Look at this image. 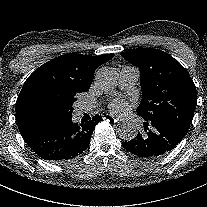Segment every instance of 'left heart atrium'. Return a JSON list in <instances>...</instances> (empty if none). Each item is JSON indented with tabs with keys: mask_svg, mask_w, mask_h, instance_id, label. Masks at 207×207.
Masks as SVG:
<instances>
[{
	"mask_svg": "<svg viewBox=\"0 0 207 207\" xmlns=\"http://www.w3.org/2000/svg\"><path fill=\"white\" fill-rule=\"evenodd\" d=\"M109 110L112 113H115L121 116H126L130 111V107L126 101L122 99H116L109 104Z\"/></svg>",
	"mask_w": 207,
	"mask_h": 207,
	"instance_id": "left-heart-atrium-1",
	"label": "left heart atrium"
}]
</instances>
